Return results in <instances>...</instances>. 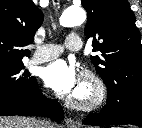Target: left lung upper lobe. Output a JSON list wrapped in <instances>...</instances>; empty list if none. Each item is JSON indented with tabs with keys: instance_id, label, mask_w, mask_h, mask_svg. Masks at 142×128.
I'll list each match as a JSON object with an SVG mask.
<instances>
[{
	"instance_id": "1",
	"label": "left lung upper lobe",
	"mask_w": 142,
	"mask_h": 128,
	"mask_svg": "<svg viewBox=\"0 0 142 128\" xmlns=\"http://www.w3.org/2000/svg\"><path fill=\"white\" fill-rule=\"evenodd\" d=\"M87 11V38L93 37L91 56L108 88V105L142 98V45L135 15L127 0H81Z\"/></svg>"
}]
</instances>
